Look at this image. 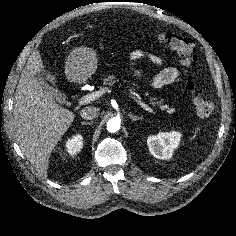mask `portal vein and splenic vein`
<instances>
[{
  "label": "portal vein and splenic vein",
  "instance_id": "obj_1",
  "mask_svg": "<svg viewBox=\"0 0 236 236\" xmlns=\"http://www.w3.org/2000/svg\"><path fill=\"white\" fill-rule=\"evenodd\" d=\"M111 90L109 88H101L98 91L92 92L90 94H87L85 96H83L79 102L78 105H85L90 103L91 101L96 100L97 98L101 97L102 95H104L107 92H110ZM123 93H125L126 95H128L129 97H131L133 100H135L142 108H144L146 111H148L149 113L155 114L154 110L152 108H150L148 105H146L145 103L141 102L137 97H135L132 93L126 92L125 90H121Z\"/></svg>",
  "mask_w": 236,
  "mask_h": 236
}]
</instances>
